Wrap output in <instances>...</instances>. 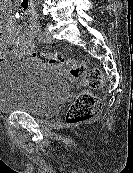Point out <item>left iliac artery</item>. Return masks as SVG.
<instances>
[{"instance_id": "left-iliac-artery-1", "label": "left iliac artery", "mask_w": 133, "mask_h": 173, "mask_svg": "<svg viewBox=\"0 0 133 173\" xmlns=\"http://www.w3.org/2000/svg\"><path fill=\"white\" fill-rule=\"evenodd\" d=\"M38 40L40 42H44V34L42 31H39V33H38Z\"/></svg>"}]
</instances>
